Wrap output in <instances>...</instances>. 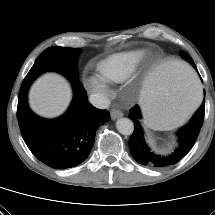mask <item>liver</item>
Instances as JSON below:
<instances>
[{"label": "liver", "instance_id": "6515ba94", "mask_svg": "<svg viewBox=\"0 0 215 215\" xmlns=\"http://www.w3.org/2000/svg\"><path fill=\"white\" fill-rule=\"evenodd\" d=\"M71 97V88L67 81L56 73H47L32 85L29 105L38 115L54 118L67 109Z\"/></svg>", "mask_w": 215, "mask_h": 215}]
</instances>
